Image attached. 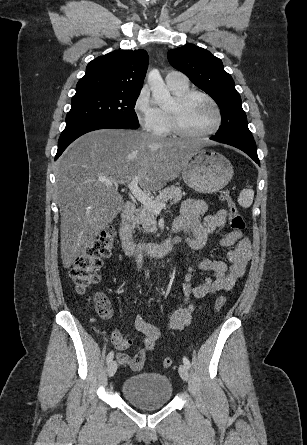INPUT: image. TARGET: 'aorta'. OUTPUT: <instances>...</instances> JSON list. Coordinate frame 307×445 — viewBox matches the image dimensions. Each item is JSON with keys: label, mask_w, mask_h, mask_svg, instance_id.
Wrapping results in <instances>:
<instances>
[{"label": "aorta", "mask_w": 307, "mask_h": 445, "mask_svg": "<svg viewBox=\"0 0 307 445\" xmlns=\"http://www.w3.org/2000/svg\"><path fill=\"white\" fill-rule=\"evenodd\" d=\"M147 82L152 90V96L158 106L173 104L174 100L168 88H166V84L158 68H152V70H150Z\"/></svg>", "instance_id": "1"}]
</instances>
